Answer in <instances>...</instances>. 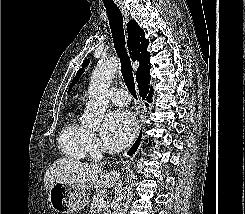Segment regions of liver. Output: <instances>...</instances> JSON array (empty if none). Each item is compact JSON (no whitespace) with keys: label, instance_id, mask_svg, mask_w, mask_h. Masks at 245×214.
I'll return each mask as SVG.
<instances>
[{"label":"liver","instance_id":"1","mask_svg":"<svg viewBox=\"0 0 245 214\" xmlns=\"http://www.w3.org/2000/svg\"><path fill=\"white\" fill-rule=\"evenodd\" d=\"M103 165L81 163L76 160L62 158L55 161L45 172L44 186L50 191L56 182L70 185L78 189L97 190L110 188L118 179L116 172L103 173Z\"/></svg>","mask_w":245,"mask_h":214}]
</instances>
